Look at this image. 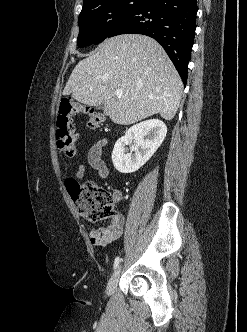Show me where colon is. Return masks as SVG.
Segmentation results:
<instances>
[{
	"label": "colon",
	"mask_w": 247,
	"mask_h": 332,
	"mask_svg": "<svg viewBox=\"0 0 247 332\" xmlns=\"http://www.w3.org/2000/svg\"><path fill=\"white\" fill-rule=\"evenodd\" d=\"M75 113H83L87 119V127L96 130L102 124L104 117L97 110L76 105L69 100L60 104L57 118L55 137L58 149L67 156H73L77 147L72 117ZM66 188L77 205L81 215L89 221H100L114 216V201L112 194L94 181L83 184L74 178H68Z\"/></svg>",
	"instance_id": "colon-1"
}]
</instances>
